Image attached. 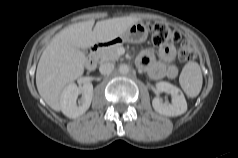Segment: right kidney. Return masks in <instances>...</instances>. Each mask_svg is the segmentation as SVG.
Instances as JSON below:
<instances>
[{
  "instance_id": "1",
  "label": "right kidney",
  "mask_w": 238,
  "mask_h": 158,
  "mask_svg": "<svg viewBox=\"0 0 238 158\" xmlns=\"http://www.w3.org/2000/svg\"><path fill=\"white\" fill-rule=\"evenodd\" d=\"M82 97L77 101L78 96ZM93 97V85L85 83L82 87L70 83L61 95V110L69 118L83 115L90 107Z\"/></svg>"
}]
</instances>
